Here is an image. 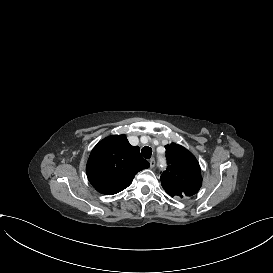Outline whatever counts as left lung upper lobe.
Instances as JSON below:
<instances>
[{"label": "left lung upper lobe", "mask_w": 273, "mask_h": 273, "mask_svg": "<svg viewBox=\"0 0 273 273\" xmlns=\"http://www.w3.org/2000/svg\"><path fill=\"white\" fill-rule=\"evenodd\" d=\"M168 166L161 174L164 190L171 196H192L201 185L202 177L198 161L183 146L172 143L166 145Z\"/></svg>", "instance_id": "obj_1"}]
</instances>
